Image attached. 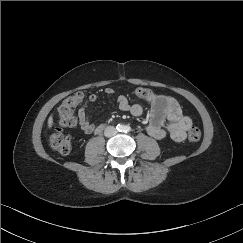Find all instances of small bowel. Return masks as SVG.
<instances>
[{"label":"small bowel","mask_w":243,"mask_h":243,"mask_svg":"<svg viewBox=\"0 0 243 243\" xmlns=\"http://www.w3.org/2000/svg\"><path fill=\"white\" fill-rule=\"evenodd\" d=\"M106 96H111L114 90L111 87L104 89ZM137 97L144 99L150 106L149 121L146 126L147 133L157 139H163L169 136L176 142L183 141L186 137V131L190 128L192 120L184 115L179 103L172 97L164 94H155L147 89H139L136 92ZM100 96L92 93L88 96L87 102L79 109V124L83 131L90 133L98 128L90 115V106L98 102ZM116 107L121 111L129 112L132 116H141L144 112V106L140 102L130 104L127 99L120 96L116 100ZM167 120V126L164 121Z\"/></svg>","instance_id":"1"}]
</instances>
